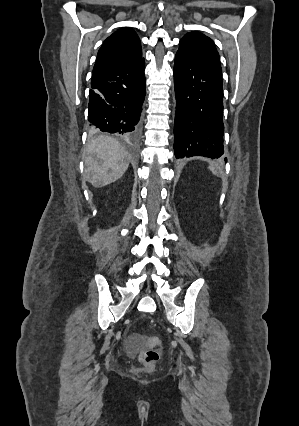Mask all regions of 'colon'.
Wrapping results in <instances>:
<instances>
[{
	"mask_svg": "<svg viewBox=\"0 0 299 426\" xmlns=\"http://www.w3.org/2000/svg\"><path fill=\"white\" fill-rule=\"evenodd\" d=\"M138 337L144 339L146 344V349H144L140 354V360L146 366L147 370H152L160 358V351L158 349L160 346V340L155 336Z\"/></svg>",
	"mask_w": 299,
	"mask_h": 426,
	"instance_id": "obj_1",
	"label": "colon"
}]
</instances>
